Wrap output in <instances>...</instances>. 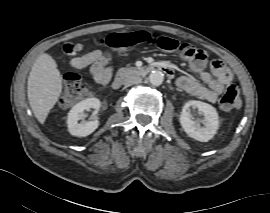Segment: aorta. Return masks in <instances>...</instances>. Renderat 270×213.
<instances>
[{
  "mask_svg": "<svg viewBox=\"0 0 270 213\" xmlns=\"http://www.w3.org/2000/svg\"><path fill=\"white\" fill-rule=\"evenodd\" d=\"M149 81L154 86H160L164 81V74L161 71H152L149 75Z\"/></svg>",
  "mask_w": 270,
  "mask_h": 213,
  "instance_id": "obj_1",
  "label": "aorta"
}]
</instances>
